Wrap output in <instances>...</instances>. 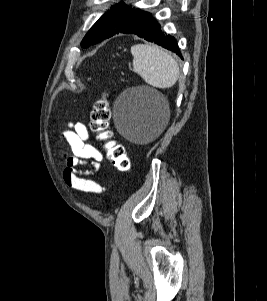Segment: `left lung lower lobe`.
Instances as JSON below:
<instances>
[{
	"instance_id": "left-lung-lower-lobe-1",
	"label": "left lung lower lobe",
	"mask_w": 267,
	"mask_h": 301,
	"mask_svg": "<svg viewBox=\"0 0 267 301\" xmlns=\"http://www.w3.org/2000/svg\"><path fill=\"white\" fill-rule=\"evenodd\" d=\"M134 34L147 41L154 42L181 56L176 39L162 32L160 24L150 15L147 19L123 32Z\"/></svg>"
}]
</instances>
